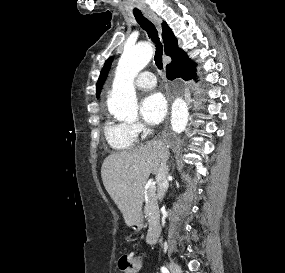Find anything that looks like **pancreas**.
<instances>
[{
    "label": "pancreas",
    "mask_w": 285,
    "mask_h": 273,
    "mask_svg": "<svg viewBox=\"0 0 285 273\" xmlns=\"http://www.w3.org/2000/svg\"><path fill=\"white\" fill-rule=\"evenodd\" d=\"M145 216L152 218L154 214L157 213V203H156V194L155 190H148L147 201L144 207Z\"/></svg>",
    "instance_id": "pancreas-1"
}]
</instances>
